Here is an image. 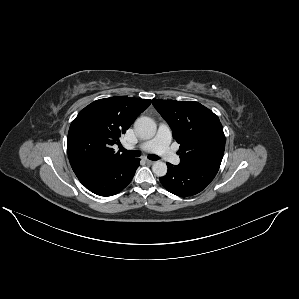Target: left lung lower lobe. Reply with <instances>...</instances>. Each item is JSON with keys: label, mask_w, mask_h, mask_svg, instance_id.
<instances>
[{"label": "left lung lower lobe", "mask_w": 299, "mask_h": 299, "mask_svg": "<svg viewBox=\"0 0 299 299\" xmlns=\"http://www.w3.org/2000/svg\"><path fill=\"white\" fill-rule=\"evenodd\" d=\"M160 182L169 192L178 196H192L207 187L214 179L220 165L211 162H191L172 165Z\"/></svg>", "instance_id": "obj_1"}]
</instances>
